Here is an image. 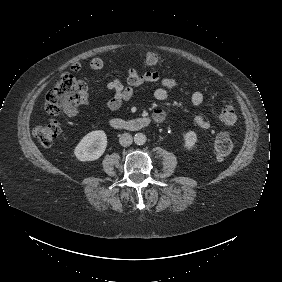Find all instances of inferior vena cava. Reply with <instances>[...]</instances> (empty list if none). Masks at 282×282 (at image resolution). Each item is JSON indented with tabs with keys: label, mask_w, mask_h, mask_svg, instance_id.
<instances>
[{
	"label": "inferior vena cava",
	"mask_w": 282,
	"mask_h": 282,
	"mask_svg": "<svg viewBox=\"0 0 282 282\" xmlns=\"http://www.w3.org/2000/svg\"><path fill=\"white\" fill-rule=\"evenodd\" d=\"M133 142V137L129 133H124L120 136L119 138V143L123 147H128L132 144Z\"/></svg>",
	"instance_id": "602c4592"
}]
</instances>
